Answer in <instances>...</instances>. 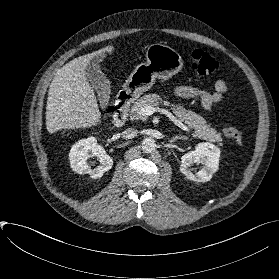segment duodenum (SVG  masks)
<instances>
[{
  "instance_id": "duodenum-1",
  "label": "duodenum",
  "mask_w": 279,
  "mask_h": 279,
  "mask_svg": "<svg viewBox=\"0 0 279 279\" xmlns=\"http://www.w3.org/2000/svg\"><path fill=\"white\" fill-rule=\"evenodd\" d=\"M134 100V96L128 91H122L117 97L115 114L113 117L114 123L116 125H121L127 119V113L129 107Z\"/></svg>"
}]
</instances>
